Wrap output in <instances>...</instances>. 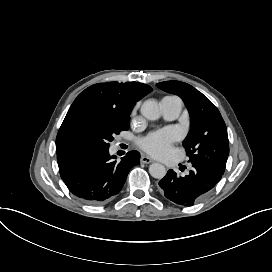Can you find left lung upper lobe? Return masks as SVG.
Segmentation results:
<instances>
[{
    "label": "left lung upper lobe",
    "instance_id": "left-lung-upper-lobe-1",
    "mask_svg": "<svg viewBox=\"0 0 272 272\" xmlns=\"http://www.w3.org/2000/svg\"><path fill=\"white\" fill-rule=\"evenodd\" d=\"M156 86L181 97L189 111L191 128L183 141L189 162L209 166L223 174L229 154V141L219 110L206 96L187 83L165 81Z\"/></svg>",
    "mask_w": 272,
    "mask_h": 272
}]
</instances>
